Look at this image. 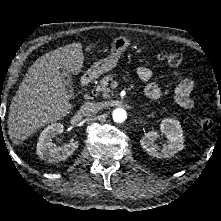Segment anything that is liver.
I'll list each match as a JSON object with an SVG mask.
<instances>
[{"instance_id": "1", "label": "liver", "mask_w": 221, "mask_h": 221, "mask_svg": "<svg viewBox=\"0 0 221 221\" xmlns=\"http://www.w3.org/2000/svg\"><path fill=\"white\" fill-rule=\"evenodd\" d=\"M81 43L59 47L38 58L29 68L13 97L8 115V134L19 145L46 124L72 110L61 69L77 75L83 67Z\"/></svg>"}]
</instances>
